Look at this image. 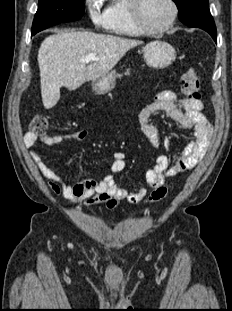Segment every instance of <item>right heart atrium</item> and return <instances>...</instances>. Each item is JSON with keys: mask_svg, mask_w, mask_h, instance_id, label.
<instances>
[{"mask_svg": "<svg viewBox=\"0 0 232 311\" xmlns=\"http://www.w3.org/2000/svg\"><path fill=\"white\" fill-rule=\"evenodd\" d=\"M103 0H84L86 10L96 27H105L106 11L101 10Z\"/></svg>", "mask_w": 232, "mask_h": 311, "instance_id": "d8ad5b80", "label": "right heart atrium"}]
</instances>
